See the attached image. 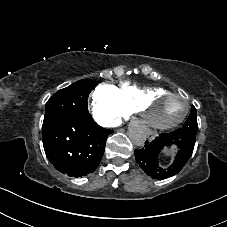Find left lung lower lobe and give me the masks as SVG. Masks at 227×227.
<instances>
[{"instance_id":"0a47b994","label":"left lung lower lobe","mask_w":227,"mask_h":227,"mask_svg":"<svg viewBox=\"0 0 227 227\" xmlns=\"http://www.w3.org/2000/svg\"><path fill=\"white\" fill-rule=\"evenodd\" d=\"M196 133L180 128L171 133H162L152 142L146 141L144 148L135 150V158L142 170L154 179H166L176 175L192 155ZM176 145L178 152L168 167L159 165L158 156L164 147Z\"/></svg>"}]
</instances>
